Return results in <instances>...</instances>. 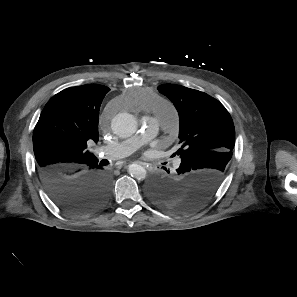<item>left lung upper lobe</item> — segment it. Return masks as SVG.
Masks as SVG:
<instances>
[{"mask_svg": "<svg viewBox=\"0 0 297 297\" xmlns=\"http://www.w3.org/2000/svg\"><path fill=\"white\" fill-rule=\"evenodd\" d=\"M160 93L167 96L179 114V149L173 154L180 156L183 175L172 176L177 189L172 193L150 195L158 206L173 210L183 205L187 194L198 186V176H212L216 180L215 191L203 197L199 207L217 191L226 173L235 145V128L225 107L204 92L180 85L158 86ZM198 207V208H199Z\"/></svg>", "mask_w": 297, "mask_h": 297, "instance_id": "left-lung-upper-lobe-1", "label": "left lung upper lobe"}]
</instances>
